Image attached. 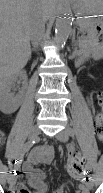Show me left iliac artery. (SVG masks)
Returning <instances> with one entry per match:
<instances>
[{"instance_id": "44dca946", "label": "left iliac artery", "mask_w": 103, "mask_h": 193, "mask_svg": "<svg viewBox=\"0 0 103 193\" xmlns=\"http://www.w3.org/2000/svg\"><path fill=\"white\" fill-rule=\"evenodd\" d=\"M67 131L70 136L74 137L75 131L72 128H67ZM86 171H87L89 180H93L94 174H93L92 167L89 162H87L86 164Z\"/></svg>"}]
</instances>
